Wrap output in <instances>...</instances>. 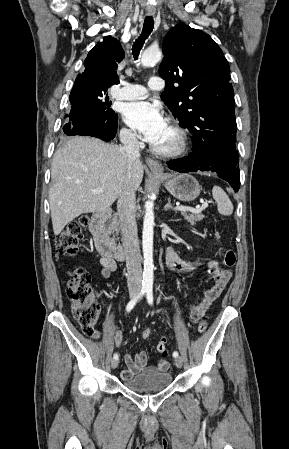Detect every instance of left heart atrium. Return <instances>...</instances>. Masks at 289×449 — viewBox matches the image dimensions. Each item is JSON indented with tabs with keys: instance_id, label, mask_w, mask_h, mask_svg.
Wrapping results in <instances>:
<instances>
[{
	"instance_id": "left-heart-atrium-1",
	"label": "left heart atrium",
	"mask_w": 289,
	"mask_h": 449,
	"mask_svg": "<svg viewBox=\"0 0 289 449\" xmlns=\"http://www.w3.org/2000/svg\"><path fill=\"white\" fill-rule=\"evenodd\" d=\"M124 121L137 131L140 137L154 145L167 127L158 105L148 101L131 102L123 110Z\"/></svg>"
}]
</instances>
